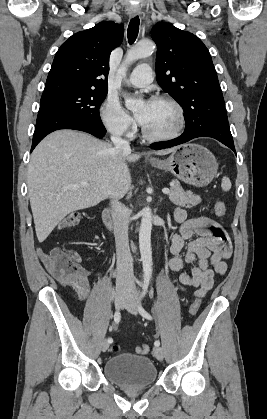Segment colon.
<instances>
[{
    "instance_id": "1",
    "label": "colon",
    "mask_w": 267,
    "mask_h": 419,
    "mask_svg": "<svg viewBox=\"0 0 267 419\" xmlns=\"http://www.w3.org/2000/svg\"><path fill=\"white\" fill-rule=\"evenodd\" d=\"M214 211L217 216H224L226 214V205L222 201H217L214 206ZM82 220V215L79 212H72L66 215L60 222V228H71L78 225ZM53 271L62 277H73L81 274L82 268L79 265V255L73 250H64L60 248L52 249L46 254ZM201 306L200 299H195L189 309L191 316L197 314ZM114 351L118 350L117 346L113 347ZM150 347L147 344H142L137 347V352L147 354Z\"/></svg>"
}]
</instances>
